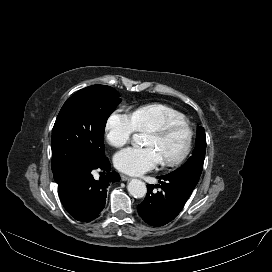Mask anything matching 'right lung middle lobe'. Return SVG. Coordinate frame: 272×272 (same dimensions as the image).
Listing matches in <instances>:
<instances>
[{
	"label": "right lung middle lobe",
	"instance_id": "right-lung-middle-lobe-1",
	"mask_svg": "<svg viewBox=\"0 0 272 272\" xmlns=\"http://www.w3.org/2000/svg\"><path fill=\"white\" fill-rule=\"evenodd\" d=\"M120 102L119 93L112 87L93 85L79 90L64 103L52 130L55 181L106 158L104 130Z\"/></svg>",
	"mask_w": 272,
	"mask_h": 272
}]
</instances>
